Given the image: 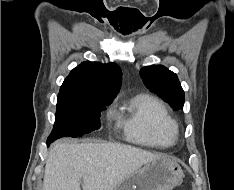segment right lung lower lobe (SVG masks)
<instances>
[{"instance_id":"1","label":"right lung lower lobe","mask_w":234,"mask_h":190,"mask_svg":"<svg viewBox=\"0 0 234 190\" xmlns=\"http://www.w3.org/2000/svg\"><path fill=\"white\" fill-rule=\"evenodd\" d=\"M50 143H51V141H48V140H47V146H49V145H50Z\"/></svg>"}]
</instances>
